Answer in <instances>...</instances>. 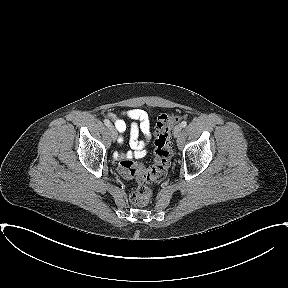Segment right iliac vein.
I'll use <instances>...</instances> for the list:
<instances>
[{
	"label": "right iliac vein",
	"instance_id": "obj_1",
	"mask_svg": "<svg viewBox=\"0 0 288 288\" xmlns=\"http://www.w3.org/2000/svg\"><path fill=\"white\" fill-rule=\"evenodd\" d=\"M109 129H110V134H111L112 140L115 142L116 138H117V131L114 128V126H110Z\"/></svg>",
	"mask_w": 288,
	"mask_h": 288
}]
</instances>
